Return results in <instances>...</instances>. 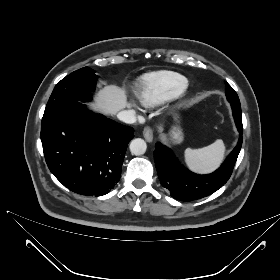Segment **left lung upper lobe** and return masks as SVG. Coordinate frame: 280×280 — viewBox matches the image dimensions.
I'll return each instance as SVG.
<instances>
[{
    "instance_id": "obj_1",
    "label": "left lung upper lobe",
    "mask_w": 280,
    "mask_h": 280,
    "mask_svg": "<svg viewBox=\"0 0 280 280\" xmlns=\"http://www.w3.org/2000/svg\"><path fill=\"white\" fill-rule=\"evenodd\" d=\"M226 97L227 100L229 101V103H231V105H236L239 106V109L241 111V106H240V101L238 98L237 93L234 91V89L226 82Z\"/></svg>"
}]
</instances>
